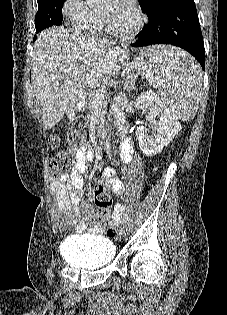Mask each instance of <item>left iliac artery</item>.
I'll return each instance as SVG.
<instances>
[{
    "label": "left iliac artery",
    "mask_w": 227,
    "mask_h": 315,
    "mask_svg": "<svg viewBox=\"0 0 227 315\" xmlns=\"http://www.w3.org/2000/svg\"><path fill=\"white\" fill-rule=\"evenodd\" d=\"M127 220H128V216L125 215V217H124V219H123V221H122V223H123L124 226H126Z\"/></svg>",
    "instance_id": "44dca946"
}]
</instances>
